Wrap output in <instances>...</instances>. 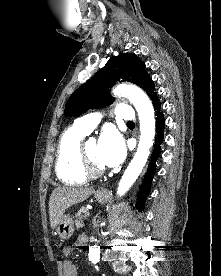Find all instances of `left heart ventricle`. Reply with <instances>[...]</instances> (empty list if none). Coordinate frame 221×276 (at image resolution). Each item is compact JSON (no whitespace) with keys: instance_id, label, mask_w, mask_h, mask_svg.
<instances>
[{"instance_id":"b2bd125f","label":"left heart ventricle","mask_w":221,"mask_h":276,"mask_svg":"<svg viewBox=\"0 0 221 276\" xmlns=\"http://www.w3.org/2000/svg\"><path fill=\"white\" fill-rule=\"evenodd\" d=\"M86 152L91 160L98 166L104 167L100 161L98 160L97 151H98V144L95 142H89L85 145Z\"/></svg>"}]
</instances>
